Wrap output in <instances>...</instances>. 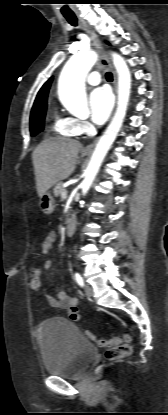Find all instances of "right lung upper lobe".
<instances>
[{
  "mask_svg": "<svg viewBox=\"0 0 168 415\" xmlns=\"http://www.w3.org/2000/svg\"><path fill=\"white\" fill-rule=\"evenodd\" d=\"M51 82H52V78H50L43 86H42V88L40 89V91L38 92V95H37V97H36V99H35V102H34V105H33V108H32V111H34V110H37V109H40V108H42V107H45V106H47V102H46V100H47V95H48V91H49V88H50V85H51Z\"/></svg>",
  "mask_w": 168,
  "mask_h": 415,
  "instance_id": "1",
  "label": "right lung upper lobe"
}]
</instances>
